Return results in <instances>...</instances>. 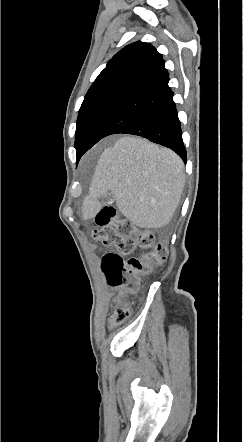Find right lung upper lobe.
<instances>
[{"label": "right lung upper lobe", "instance_id": "right-lung-upper-lobe-1", "mask_svg": "<svg viewBox=\"0 0 243 442\" xmlns=\"http://www.w3.org/2000/svg\"><path fill=\"white\" fill-rule=\"evenodd\" d=\"M162 55L149 43L135 42L120 50L98 75L85 99L110 93H130L167 70Z\"/></svg>", "mask_w": 243, "mask_h": 442}]
</instances>
